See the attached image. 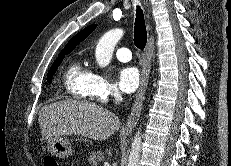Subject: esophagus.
Segmentation results:
<instances>
[{
	"mask_svg": "<svg viewBox=\"0 0 231 166\" xmlns=\"http://www.w3.org/2000/svg\"><path fill=\"white\" fill-rule=\"evenodd\" d=\"M153 50H154V37L153 35H150L148 42H147L146 49L143 54L140 87L136 94L134 104L131 109V113L128 117V121L122 130L123 133L132 132L141 114V110L143 107V101L145 98V93H146L148 82H149V74H150V69H151V58H152Z\"/></svg>",
	"mask_w": 231,
	"mask_h": 166,
	"instance_id": "34e87169",
	"label": "esophagus"
}]
</instances>
